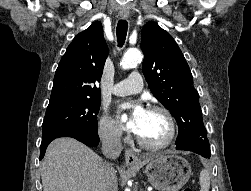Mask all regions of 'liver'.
<instances>
[{"mask_svg": "<svg viewBox=\"0 0 251 191\" xmlns=\"http://www.w3.org/2000/svg\"><path fill=\"white\" fill-rule=\"evenodd\" d=\"M113 169L81 141L57 137L41 161L43 191H117V179H109Z\"/></svg>", "mask_w": 251, "mask_h": 191, "instance_id": "liver-1", "label": "liver"}]
</instances>
